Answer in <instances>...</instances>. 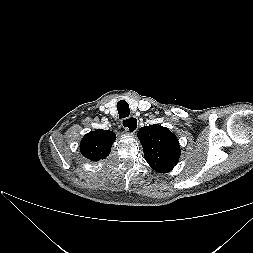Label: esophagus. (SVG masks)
Returning a JSON list of instances; mask_svg holds the SVG:
<instances>
[{
  "mask_svg": "<svg viewBox=\"0 0 253 253\" xmlns=\"http://www.w3.org/2000/svg\"><path fill=\"white\" fill-rule=\"evenodd\" d=\"M127 121H131V124H129V127L127 125ZM137 123V126H136ZM122 126L124 128V132L127 134H134L137 131L138 128V120L136 117L131 116L128 118H124L122 120Z\"/></svg>",
  "mask_w": 253,
  "mask_h": 253,
  "instance_id": "34e87169",
  "label": "esophagus"
}]
</instances>
